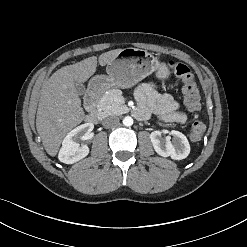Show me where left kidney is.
Segmentation results:
<instances>
[{
	"mask_svg": "<svg viewBox=\"0 0 247 247\" xmlns=\"http://www.w3.org/2000/svg\"><path fill=\"white\" fill-rule=\"evenodd\" d=\"M171 138L167 136L162 138L160 131H154L150 134L152 145L157 154L163 157H171L174 160L185 159L190 153V145L184 134L179 131H171Z\"/></svg>",
	"mask_w": 247,
	"mask_h": 247,
	"instance_id": "1",
	"label": "left kidney"
}]
</instances>
